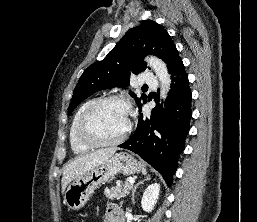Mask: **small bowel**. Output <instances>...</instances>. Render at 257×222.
I'll return each mask as SVG.
<instances>
[{
    "label": "small bowel",
    "mask_w": 257,
    "mask_h": 222,
    "mask_svg": "<svg viewBox=\"0 0 257 222\" xmlns=\"http://www.w3.org/2000/svg\"><path fill=\"white\" fill-rule=\"evenodd\" d=\"M105 216L107 222H123L122 212L119 207L109 204L106 208Z\"/></svg>",
    "instance_id": "obj_1"
}]
</instances>
